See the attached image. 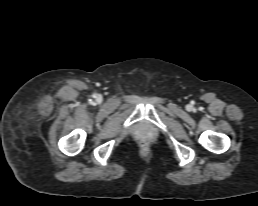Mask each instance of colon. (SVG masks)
I'll list each match as a JSON object with an SVG mask.
<instances>
[{
    "label": "colon",
    "instance_id": "5ec220e1",
    "mask_svg": "<svg viewBox=\"0 0 258 206\" xmlns=\"http://www.w3.org/2000/svg\"><path fill=\"white\" fill-rule=\"evenodd\" d=\"M141 147H142L143 149L148 148V142H147V141H142V142H141Z\"/></svg>",
    "mask_w": 258,
    "mask_h": 206
}]
</instances>
